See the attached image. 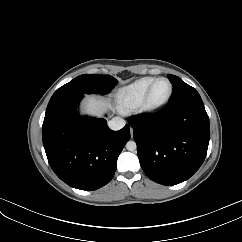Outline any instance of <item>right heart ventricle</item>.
Instances as JSON below:
<instances>
[{
	"mask_svg": "<svg viewBox=\"0 0 242 242\" xmlns=\"http://www.w3.org/2000/svg\"><path fill=\"white\" fill-rule=\"evenodd\" d=\"M154 79V77H143L122 87L117 92V101L121 109L127 111L137 108Z\"/></svg>",
	"mask_w": 242,
	"mask_h": 242,
	"instance_id": "1",
	"label": "right heart ventricle"
}]
</instances>
